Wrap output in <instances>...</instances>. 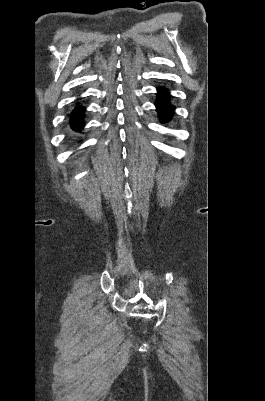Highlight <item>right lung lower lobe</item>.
<instances>
[{
    "label": "right lung lower lobe",
    "mask_w": 265,
    "mask_h": 401,
    "mask_svg": "<svg viewBox=\"0 0 265 401\" xmlns=\"http://www.w3.org/2000/svg\"><path fill=\"white\" fill-rule=\"evenodd\" d=\"M84 107L79 106L75 107L70 114L69 124L73 131H80L84 125L83 116H84Z\"/></svg>",
    "instance_id": "98d812e1"
}]
</instances>
